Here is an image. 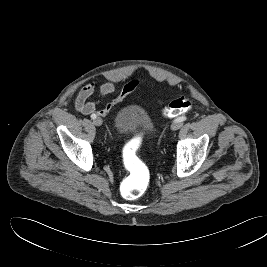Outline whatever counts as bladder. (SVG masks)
I'll list each match as a JSON object with an SVG mask.
<instances>
[{
    "instance_id": "bladder-1",
    "label": "bladder",
    "mask_w": 267,
    "mask_h": 267,
    "mask_svg": "<svg viewBox=\"0 0 267 267\" xmlns=\"http://www.w3.org/2000/svg\"><path fill=\"white\" fill-rule=\"evenodd\" d=\"M115 130L124 134L133 130H140L146 138L151 137L155 131V124L144 107L138 104L123 106L115 115Z\"/></svg>"
}]
</instances>
